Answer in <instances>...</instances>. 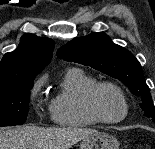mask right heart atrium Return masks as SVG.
Here are the masks:
<instances>
[{"label":"right heart atrium","instance_id":"1","mask_svg":"<svg viewBox=\"0 0 155 149\" xmlns=\"http://www.w3.org/2000/svg\"><path fill=\"white\" fill-rule=\"evenodd\" d=\"M43 84V79L39 80L33 87L32 91H31V97L32 98H36L37 95L40 92L41 86Z\"/></svg>","mask_w":155,"mask_h":149}]
</instances>
